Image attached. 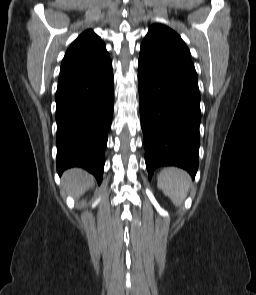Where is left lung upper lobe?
Here are the masks:
<instances>
[{
  "mask_svg": "<svg viewBox=\"0 0 256 295\" xmlns=\"http://www.w3.org/2000/svg\"><path fill=\"white\" fill-rule=\"evenodd\" d=\"M138 64L178 84L198 90V78L191 54L172 29L155 24L144 38Z\"/></svg>",
  "mask_w": 256,
  "mask_h": 295,
  "instance_id": "left-lung-upper-lobe-1",
  "label": "left lung upper lobe"
}]
</instances>
